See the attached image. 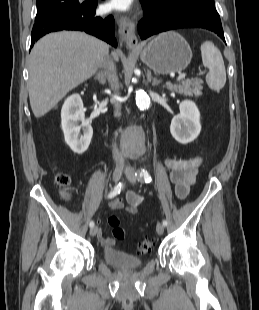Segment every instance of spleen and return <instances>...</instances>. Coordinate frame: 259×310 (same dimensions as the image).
<instances>
[{
    "label": "spleen",
    "mask_w": 259,
    "mask_h": 310,
    "mask_svg": "<svg viewBox=\"0 0 259 310\" xmlns=\"http://www.w3.org/2000/svg\"><path fill=\"white\" fill-rule=\"evenodd\" d=\"M202 62L208 67L206 82L210 89L219 91L226 83V70L220 50L211 42L201 44Z\"/></svg>",
    "instance_id": "1"
}]
</instances>
